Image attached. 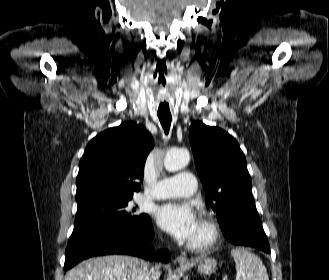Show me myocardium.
Masks as SVG:
<instances>
[{"mask_svg": "<svg viewBox=\"0 0 329 280\" xmlns=\"http://www.w3.org/2000/svg\"><path fill=\"white\" fill-rule=\"evenodd\" d=\"M203 231L204 238L198 242H189L187 247L195 252H204L212 248L219 238V229L217 225L208 217L203 216L199 221Z\"/></svg>", "mask_w": 329, "mask_h": 280, "instance_id": "f54148a6", "label": "myocardium"}]
</instances>
